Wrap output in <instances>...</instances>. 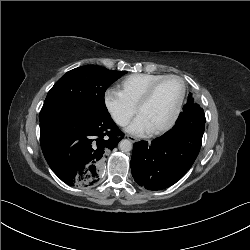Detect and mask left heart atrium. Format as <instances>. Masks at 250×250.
Returning <instances> with one entry per match:
<instances>
[{
	"mask_svg": "<svg viewBox=\"0 0 250 250\" xmlns=\"http://www.w3.org/2000/svg\"><path fill=\"white\" fill-rule=\"evenodd\" d=\"M127 130L136 135H143L151 131L141 115L136 117V119L128 126Z\"/></svg>",
	"mask_w": 250,
	"mask_h": 250,
	"instance_id": "obj_1",
	"label": "left heart atrium"
}]
</instances>
